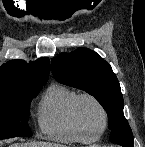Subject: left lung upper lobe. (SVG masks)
<instances>
[{
	"label": "left lung upper lobe",
	"mask_w": 145,
	"mask_h": 147,
	"mask_svg": "<svg viewBox=\"0 0 145 147\" xmlns=\"http://www.w3.org/2000/svg\"><path fill=\"white\" fill-rule=\"evenodd\" d=\"M54 78L65 85L94 96L108 114L109 140L123 147H133L132 130L123 114V97L111 66L97 53L79 48L52 59Z\"/></svg>",
	"instance_id": "obj_1"
}]
</instances>
